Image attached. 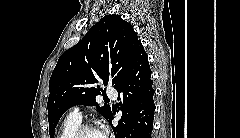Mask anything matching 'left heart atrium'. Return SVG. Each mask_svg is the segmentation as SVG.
<instances>
[{"label": "left heart atrium", "mask_w": 240, "mask_h": 138, "mask_svg": "<svg viewBox=\"0 0 240 138\" xmlns=\"http://www.w3.org/2000/svg\"><path fill=\"white\" fill-rule=\"evenodd\" d=\"M100 132V135L101 136H104L105 135V132L104 131H99Z\"/></svg>", "instance_id": "obj_1"}]
</instances>
